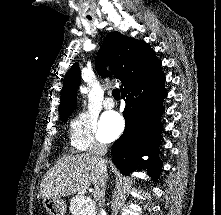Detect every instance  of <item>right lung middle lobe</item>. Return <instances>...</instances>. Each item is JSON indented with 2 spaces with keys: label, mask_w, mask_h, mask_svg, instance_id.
Masks as SVG:
<instances>
[{
  "label": "right lung middle lobe",
  "mask_w": 221,
  "mask_h": 215,
  "mask_svg": "<svg viewBox=\"0 0 221 215\" xmlns=\"http://www.w3.org/2000/svg\"><path fill=\"white\" fill-rule=\"evenodd\" d=\"M63 121H66L67 120V117H64V118H61Z\"/></svg>",
  "instance_id": "dd1d6c3e"
}]
</instances>
